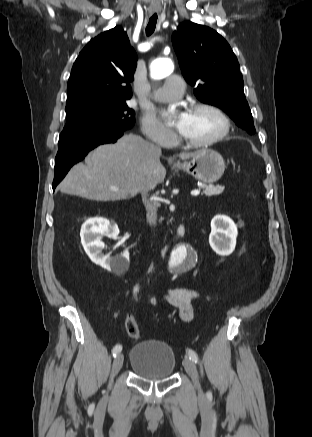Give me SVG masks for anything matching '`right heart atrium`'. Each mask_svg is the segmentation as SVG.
I'll use <instances>...</instances> for the list:
<instances>
[{"mask_svg": "<svg viewBox=\"0 0 312 437\" xmlns=\"http://www.w3.org/2000/svg\"><path fill=\"white\" fill-rule=\"evenodd\" d=\"M142 133L154 143L166 147L174 142V134L165 128L153 115L147 114L141 120Z\"/></svg>", "mask_w": 312, "mask_h": 437, "instance_id": "obj_1", "label": "right heart atrium"}]
</instances>
